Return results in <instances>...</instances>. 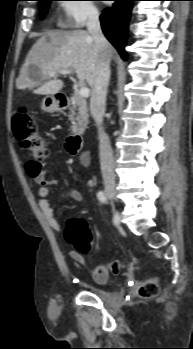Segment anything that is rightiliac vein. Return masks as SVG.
I'll return each mask as SVG.
<instances>
[{
    "mask_svg": "<svg viewBox=\"0 0 193 349\" xmlns=\"http://www.w3.org/2000/svg\"><path fill=\"white\" fill-rule=\"evenodd\" d=\"M106 193L110 198H113L116 201L118 200L117 195H116V191L113 187H108L106 189Z\"/></svg>",
    "mask_w": 193,
    "mask_h": 349,
    "instance_id": "63e3f726",
    "label": "right iliac vein"
}]
</instances>
